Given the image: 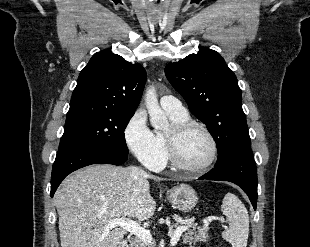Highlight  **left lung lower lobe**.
I'll return each mask as SVG.
<instances>
[{
  "mask_svg": "<svg viewBox=\"0 0 310 247\" xmlns=\"http://www.w3.org/2000/svg\"><path fill=\"white\" fill-rule=\"evenodd\" d=\"M199 179L229 181L237 184L246 192L256 210L257 171L251 149H246L222 163H216L212 170Z\"/></svg>",
  "mask_w": 310,
  "mask_h": 247,
  "instance_id": "0a47b994",
  "label": "left lung lower lobe"
}]
</instances>
